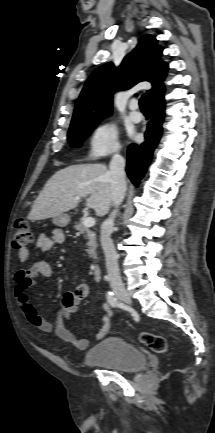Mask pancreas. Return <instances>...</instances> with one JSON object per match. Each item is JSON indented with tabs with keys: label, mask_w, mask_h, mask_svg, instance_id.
I'll use <instances>...</instances> for the list:
<instances>
[{
	"label": "pancreas",
	"mask_w": 215,
	"mask_h": 433,
	"mask_svg": "<svg viewBox=\"0 0 215 433\" xmlns=\"http://www.w3.org/2000/svg\"><path fill=\"white\" fill-rule=\"evenodd\" d=\"M74 228L79 231L81 234L84 235L85 239L87 240V252L89 254L90 258L96 259V249H97V242H96V234L90 230L89 227H86L83 222H76Z\"/></svg>",
	"instance_id": "pancreas-1"
}]
</instances>
